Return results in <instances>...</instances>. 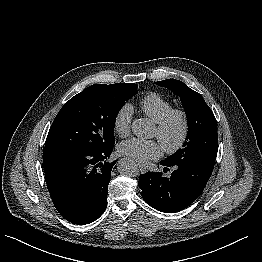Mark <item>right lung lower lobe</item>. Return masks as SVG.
I'll list each match as a JSON object with an SVG mask.
<instances>
[{"instance_id": "obj_1", "label": "right lung lower lobe", "mask_w": 262, "mask_h": 262, "mask_svg": "<svg viewBox=\"0 0 262 262\" xmlns=\"http://www.w3.org/2000/svg\"><path fill=\"white\" fill-rule=\"evenodd\" d=\"M112 150L113 147L105 150L44 148L48 191L54 206L67 221L84 225L103 214L111 169L117 161H106Z\"/></svg>"}]
</instances>
